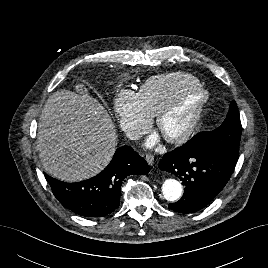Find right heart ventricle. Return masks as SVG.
Listing matches in <instances>:
<instances>
[{
  "instance_id": "right-heart-ventricle-1",
  "label": "right heart ventricle",
  "mask_w": 268,
  "mask_h": 268,
  "mask_svg": "<svg viewBox=\"0 0 268 268\" xmlns=\"http://www.w3.org/2000/svg\"><path fill=\"white\" fill-rule=\"evenodd\" d=\"M189 85H200V82L188 73H162L147 79L141 86L140 95L151 114L155 116L171 97Z\"/></svg>"
}]
</instances>
